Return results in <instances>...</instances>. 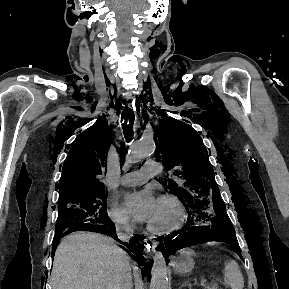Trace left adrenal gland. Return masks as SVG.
Masks as SVG:
<instances>
[{"label": "left adrenal gland", "mask_w": 289, "mask_h": 289, "mask_svg": "<svg viewBox=\"0 0 289 289\" xmlns=\"http://www.w3.org/2000/svg\"><path fill=\"white\" fill-rule=\"evenodd\" d=\"M183 286H189V287H190L191 284L189 283V281H185V282L182 284V287H183Z\"/></svg>", "instance_id": "left-adrenal-gland-1"}]
</instances>
